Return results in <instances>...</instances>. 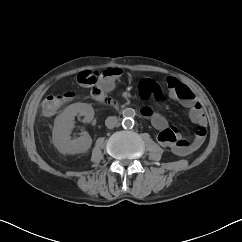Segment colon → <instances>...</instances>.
<instances>
[{
	"label": "colon",
	"instance_id": "1",
	"mask_svg": "<svg viewBox=\"0 0 242 242\" xmlns=\"http://www.w3.org/2000/svg\"><path fill=\"white\" fill-rule=\"evenodd\" d=\"M98 78V73L84 72L81 74V83L94 86ZM139 90L146 96L153 95L158 98L161 95L160 87L151 80H143L139 85ZM105 93L106 92L99 93L98 97H103ZM179 94L183 96L187 95L186 90L182 86L179 87ZM68 98L67 94L51 95L46 97L43 101V112L48 115L56 113L68 101Z\"/></svg>",
	"mask_w": 242,
	"mask_h": 242
}]
</instances>
